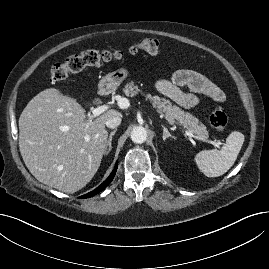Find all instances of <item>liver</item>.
I'll list each match as a JSON object with an SVG mask.
<instances>
[{
	"mask_svg": "<svg viewBox=\"0 0 269 269\" xmlns=\"http://www.w3.org/2000/svg\"><path fill=\"white\" fill-rule=\"evenodd\" d=\"M115 109L91 121L73 98L55 88L41 91L19 118V149L31 174L41 183L75 193L96 174L106 149V121Z\"/></svg>",
	"mask_w": 269,
	"mask_h": 269,
	"instance_id": "obj_1",
	"label": "liver"
}]
</instances>
